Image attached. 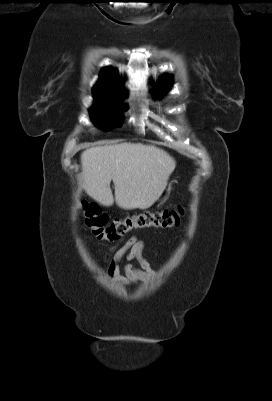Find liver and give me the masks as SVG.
Listing matches in <instances>:
<instances>
[{
    "instance_id": "6515ba94",
    "label": "liver",
    "mask_w": 272,
    "mask_h": 401,
    "mask_svg": "<svg viewBox=\"0 0 272 401\" xmlns=\"http://www.w3.org/2000/svg\"><path fill=\"white\" fill-rule=\"evenodd\" d=\"M83 188L104 206L147 209L164 192L176 161L154 145L120 143L91 147L81 154ZM115 186L113 198L110 183Z\"/></svg>"
}]
</instances>
